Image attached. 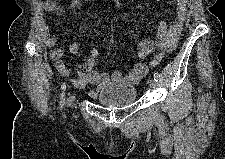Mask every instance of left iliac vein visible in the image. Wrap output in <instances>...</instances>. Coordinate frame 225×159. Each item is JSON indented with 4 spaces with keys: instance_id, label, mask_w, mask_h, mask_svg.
Segmentation results:
<instances>
[{
    "instance_id": "left-iliac-vein-1",
    "label": "left iliac vein",
    "mask_w": 225,
    "mask_h": 159,
    "mask_svg": "<svg viewBox=\"0 0 225 159\" xmlns=\"http://www.w3.org/2000/svg\"><path fill=\"white\" fill-rule=\"evenodd\" d=\"M149 86L151 87V89H154L156 86V81L154 79H151L149 82Z\"/></svg>"
}]
</instances>
